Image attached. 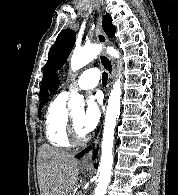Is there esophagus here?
I'll return each mask as SVG.
<instances>
[{
    "instance_id": "obj_1",
    "label": "esophagus",
    "mask_w": 178,
    "mask_h": 195,
    "mask_svg": "<svg viewBox=\"0 0 178 195\" xmlns=\"http://www.w3.org/2000/svg\"><path fill=\"white\" fill-rule=\"evenodd\" d=\"M95 35H96L97 41L101 45L105 46L109 43V39L102 29V15L101 14L98 15V18L96 21ZM99 60H100L101 65L106 69V71L109 75L108 89H107V93H106V96H108L109 91H110L112 84L114 82V79H115L116 70H115V66L113 64V61L105 52L100 53ZM98 138H99V136H97L96 140L94 141V144L92 145V149L90 150V152L88 154H86L82 158V160L80 161L81 166L91 167L93 165V161L91 159V153L97 146Z\"/></svg>"
}]
</instances>
